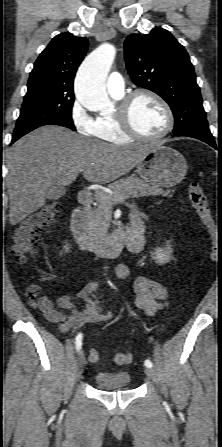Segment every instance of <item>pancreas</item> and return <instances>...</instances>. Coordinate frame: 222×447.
<instances>
[{
	"label": "pancreas",
	"instance_id": "1",
	"mask_svg": "<svg viewBox=\"0 0 222 447\" xmlns=\"http://www.w3.org/2000/svg\"><path fill=\"white\" fill-rule=\"evenodd\" d=\"M109 188L113 190V194H109L104 191H97L95 193L94 198L97 206L89 210L87 215V230L89 235L95 241H99L104 238L110 227V223L106 218V211L112 208V205L115 204L111 201V199L124 194H127L133 198L157 195L171 197V193L174 192L170 190L165 191L158 185L147 183L134 176L115 181L109 185Z\"/></svg>",
	"mask_w": 222,
	"mask_h": 447
}]
</instances>
